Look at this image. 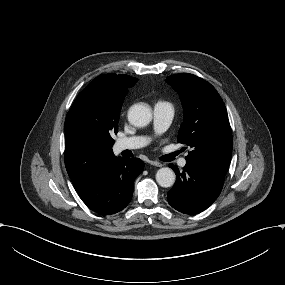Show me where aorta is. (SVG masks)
I'll list each match as a JSON object with an SVG mask.
<instances>
[{
    "label": "aorta",
    "mask_w": 285,
    "mask_h": 285,
    "mask_svg": "<svg viewBox=\"0 0 285 285\" xmlns=\"http://www.w3.org/2000/svg\"><path fill=\"white\" fill-rule=\"evenodd\" d=\"M152 120L151 108L147 105H135L129 109L128 121L135 127L147 126ZM176 180L175 173L168 167L160 168L156 173V181L161 187H171Z\"/></svg>",
    "instance_id": "aorta-1"
}]
</instances>
